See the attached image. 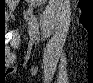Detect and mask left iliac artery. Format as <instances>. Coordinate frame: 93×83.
Segmentation results:
<instances>
[{
  "label": "left iliac artery",
  "mask_w": 93,
  "mask_h": 83,
  "mask_svg": "<svg viewBox=\"0 0 93 83\" xmlns=\"http://www.w3.org/2000/svg\"><path fill=\"white\" fill-rule=\"evenodd\" d=\"M32 22H33L34 36H35L37 42H39L40 41L39 25L37 22V18L35 16H32Z\"/></svg>",
  "instance_id": "44dca946"
}]
</instances>
